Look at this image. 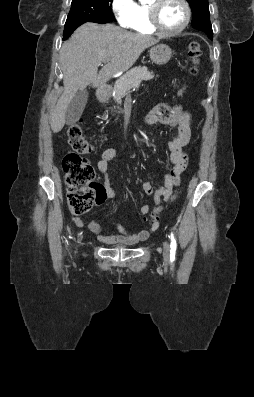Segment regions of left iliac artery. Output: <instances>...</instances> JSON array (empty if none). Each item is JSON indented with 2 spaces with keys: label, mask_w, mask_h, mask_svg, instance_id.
I'll return each instance as SVG.
<instances>
[{
  "label": "left iliac artery",
  "mask_w": 254,
  "mask_h": 397,
  "mask_svg": "<svg viewBox=\"0 0 254 397\" xmlns=\"http://www.w3.org/2000/svg\"><path fill=\"white\" fill-rule=\"evenodd\" d=\"M170 239H171L170 258H171V260H174L175 259L176 246L177 245H176V240L174 238L173 233H171Z\"/></svg>",
  "instance_id": "1"
}]
</instances>
